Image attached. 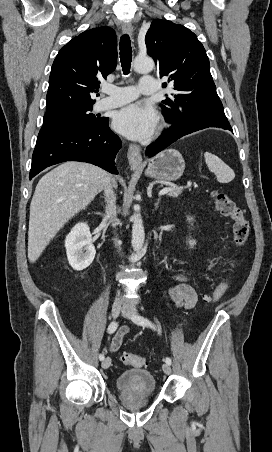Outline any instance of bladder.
<instances>
[{
	"label": "bladder",
	"mask_w": 272,
	"mask_h": 452,
	"mask_svg": "<svg viewBox=\"0 0 272 452\" xmlns=\"http://www.w3.org/2000/svg\"><path fill=\"white\" fill-rule=\"evenodd\" d=\"M118 390L128 393L153 394L156 390L154 375L146 369H130L122 372L115 381Z\"/></svg>",
	"instance_id": "bladder-1"
}]
</instances>
